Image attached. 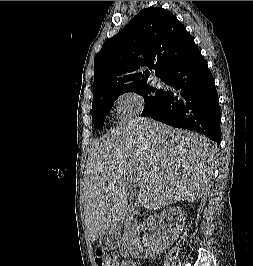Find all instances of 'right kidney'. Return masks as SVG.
Segmentation results:
<instances>
[{"instance_id":"ca27d5eb","label":"right kidney","mask_w":253,"mask_h":266,"mask_svg":"<svg viewBox=\"0 0 253 266\" xmlns=\"http://www.w3.org/2000/svg\"><path fill=\"white\" fill-rule=\"evenodd\" d=\"M184 221L185 218H177L169 235L161 233L160 229H156V223L153 221L139 224L128 237L130 253L135 257L144 259L159 255L179 237L184 227ZM141 233H144L143 236H141Z\"/></svg>"}]
</instances>
